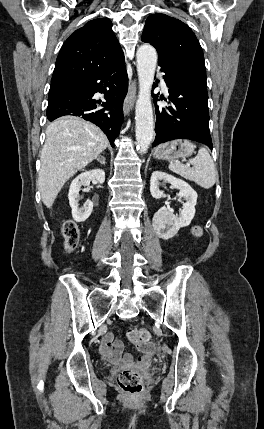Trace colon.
<instances>
[{"label": "colon", "mask_w": 264, "mask_h": 429, "mask_svg": "<svg viewBox=\"0 0 264 429\" xmlns=\"http://www.w3.org/2000/svg\"><path fill=\"white\" fill-rule=\"evenodd\" d=\"M61 231L65 249L73 251L77 247L81 237L78 225L72 220H67L63 223ZM195 232L199 233V229H196ZM127 336L129 341L138 347L150 341V333L145 328H131ZM116 382L125 393L130 395H138L143 389L141 375L133 370H120L116 376Z\"/></svg>", "instance_id": "colon-1"}]
</instances>
